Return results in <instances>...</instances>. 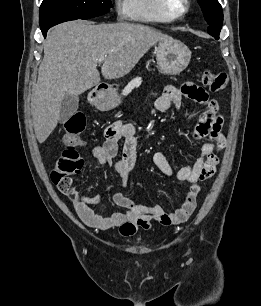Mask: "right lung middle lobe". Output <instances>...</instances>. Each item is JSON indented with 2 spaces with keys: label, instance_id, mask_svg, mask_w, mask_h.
Listing matches in <instances>:
<instances>
[{
  "label": "right lung middle lobe",
  "instance_id": "1",
  "mask_svg": "<svg viewBox=\"0 0 261 306\" xmlns=\"http://www.w3.org/2000/svg\"><path fill=\"white\" fill-rule=\"evenodd\" d=\"M111 0H43L40 15H66L90 19L107 13Z\"/></svg>",
  "mask_w": 261,
  "mask_h": 306
}]
</instances>
